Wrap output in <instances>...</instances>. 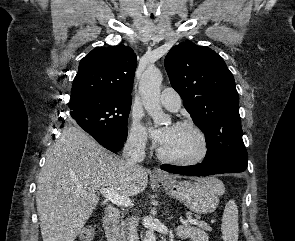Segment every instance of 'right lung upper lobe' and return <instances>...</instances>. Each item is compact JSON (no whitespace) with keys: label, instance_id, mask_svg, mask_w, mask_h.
<instances>
[{"label":"right lung upper lobe","instance_id":"cb5924a9","mask_svg":"<svg viewBox=\"0 0 295 241\" xmlns=\"http://www.w3.org/2000/svg\"><path fill=\"white\" fill-rule=\"evenodd\" d=\"M136 62L133 49L124 45L93 49L79 63L70 103L88 98L132 101Z\"/></svg>","mask_w":295,"mask_h":241}]
</instances>
